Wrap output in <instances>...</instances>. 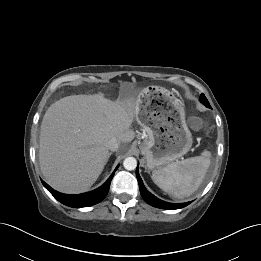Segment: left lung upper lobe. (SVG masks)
I'll use <instances>...</instances> for the list:
<instances>
[{
    "label": "left lung upper lobe",
    "instance_id": "1",
    "mask_svg": "<svg viewBox=\"0 0 261 261\" xmlns=\"http://www.w3.org/2000/svg\"><path fill=\"white\" fill-rule=\"evenodd\" d=\"M200 101H201L205 106H207V107L210 108V104H209V102H208V100H207V98L205 97L204 94H201V95H200Z\"/></svg>",
    "mask_w": 261,
    "mask_h": 261
}]
</instances>
